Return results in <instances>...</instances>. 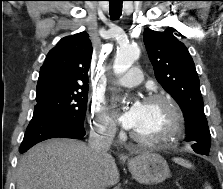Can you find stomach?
I'll return each mask as SVG.
<instances>
[{
  "mask_svg": "<svg viewBox=\"0 0 223 189\" xmlns=\"http://www.w3.org/2000/svg\"><path fill=\"white\" fill-rule=\"evenodd\" d=\"M128 168L133 178L142 184H157L169 176L166 160L152 152H141L128 161Z\"/></svg>",
  "mask_w": 223,
  "mask_h": 189,
  "instance_id": "0dacf381",
  "label": "stomach"
}]
</instances>
